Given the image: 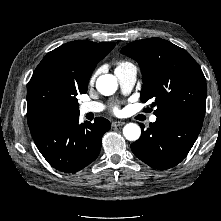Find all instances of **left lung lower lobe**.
Instances as JSON below:
<instances>
[{"instance_id":"left-lung-lower-lobe-1","label":"left lung lower lobe","mask_w":221,"mask_h":221,"mask_svg":"<svg viewBox=\"0 0 221 221\" xmlns=\"http://www.w3.org/2000/svg\"><path fill=\"white\" fill-rule=\"evenodd\" d=\"M203 120L188 116L157 117L141 137L131 144L140 160L155 169H169L180 163L192 148ZM144 129V125L141 124Z\"/></svg>"}]
</instances>
